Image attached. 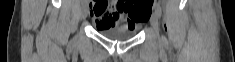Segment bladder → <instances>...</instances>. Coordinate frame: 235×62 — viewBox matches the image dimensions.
Masks as SVG:
<instances>
[{
    "label": "bladder",
    "mask_w": 235,
    "mask_h": 62,
    "mask_svg": "<svg viewBox=\"0 0 235 62\" xmlns=\"http://www.w3.org/2000/svg\"><path fill=\"white\" fill-rule=\"evenodd\" d=\"M97 31L104 37L116 41L129 40L133 38L137 33L136 28H122V27L98 28Z\"/></svg>",
    "instance_id": "1"
}]
</instances>
